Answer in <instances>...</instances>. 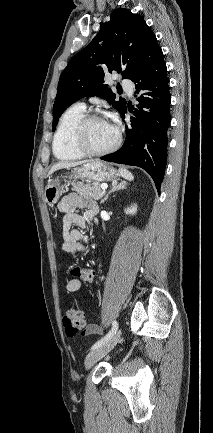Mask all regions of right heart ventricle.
I'll return each instance as SVG.
<instances>
[{"instance_id": "obj_1", "label": "right heart ventricle", "mask_w": 213, "mask_h": 433, "mask_svg": "<svg viewBox=\"0 0 213 433\" xmlns=\"http://www.w3.org/2000/svg\"><path fill=\"white\" fill-rule=\"evenodd\" d=\"M85 109L74 105L62 115L53 139V153L59 160H76L84 157L73 142L74 129Z\"/></svg>"}]
</instances>
